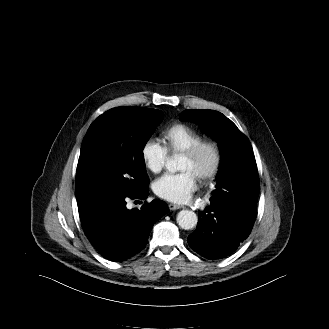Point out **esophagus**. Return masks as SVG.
Segmentation results:
<instances>
[{"instance_id": "esophagus-1", "label": "esophagus", "mask_w": 329, "mask_h": 329, "mask_svg": "<svg viewBox=\"0 0 329 329\" xmlns=\"http://www.w3.org/2000/svg\"><path fill=\"white\" fill-rule=\"evenodd\" d=\"M168 207H169L170 210H177V209L183 208V206L177 205V204H173V203H170L168 205Z\"/></svg>"}]
</instances>
